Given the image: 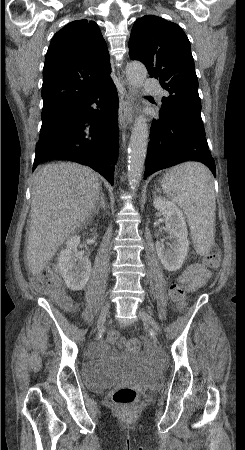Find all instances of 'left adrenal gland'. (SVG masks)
I'll return each mask as SVG.
<instances>
[{
    "label": "left adrenal gland",
    "instance_id": "1",
    "mask_svg": "<svg viewBox=\"0 0 245 450\" xmlns=\"http://www.w3.org/2000/svg\"><path fill=\"white\" fill-rule=\"evenodd\" d=\"M157 192H159V188H158V187H155V192H154V194L157 193Z\"/></svg>",
    "mask_w": 245,
    "mask_h": 450
}]
</instances>
